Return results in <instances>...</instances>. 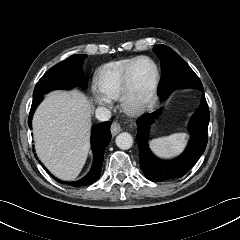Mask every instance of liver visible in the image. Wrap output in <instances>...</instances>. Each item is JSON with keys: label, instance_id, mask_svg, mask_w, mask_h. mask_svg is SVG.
Masks as SVG:
<instances>
[{"label": "liver", "instance_id": "1", "mask_svg": "<svg viewBox=\"0 0 240 240\" xmlns=\"http://www.w3.org/2000/svg\"><path fill=\"white\" fill-rule=\"evenodd\" d=\"M92 104L81 92L48 93L33 117L36 152L58 178L73 180L90 148Z\"/></svg>", "mask_w": 240, "mask_h": 240}]
</instances>
